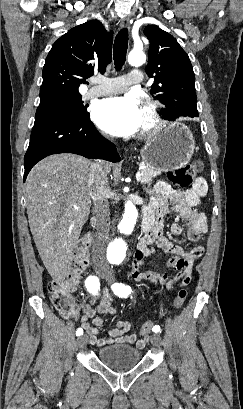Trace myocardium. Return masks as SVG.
I'll use <instances>...</instances> for the list:
<instances>
[{"label":"myocardium","instance_id":"myocardium-1","mask_svg":"<svg viewBox=\"0 0 243 409\" xmlns=\"http://www.w3.org/2000/svg\"><path fill=\"white\" fill-rule=\"evenodd\" d=\"M144 108L149 116V124L142 128L144 135H153L161 131L165 126V121L161 116L160 108L157 102L150 97L144 98Z\"/></svg>","mask_w":243,"mask_h":409}]
</instances>
